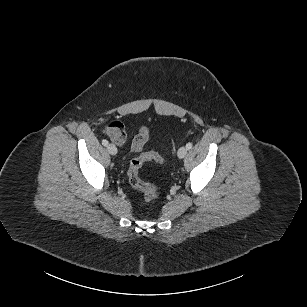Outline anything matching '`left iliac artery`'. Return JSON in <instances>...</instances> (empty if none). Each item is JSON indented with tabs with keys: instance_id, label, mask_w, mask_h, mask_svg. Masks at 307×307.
<instances>
[{
	"instance_id": "obj_1",
	"label": "left iliac artery",
	"mask_w": 307,
	"mask_h": 307,
	"mask_svg": "<svg viewBox=\"0 0 307 307\" xmlns=\"http://www.w3.org/2000/svg\"><path fill=\"white\" fill-rule=\"evenodd\" d=\"M192 146H193V144H192L191 142H189V143L186 144V148H187L188 150L191 149Z\"/></svg>"
}]
</instances>
